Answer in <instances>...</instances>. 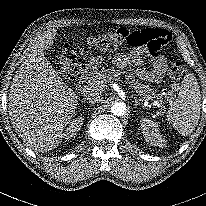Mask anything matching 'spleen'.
<instances>
[{
  "instance_id": "1",
  "label": "spleen",
  "mask_w": 206,
  "mask_h": 206,
  "mask_svg": "<svg viewBox=\"0 0 206 206\" xmlns=\"http://www.w3.org/2000/svg\"><path fill=\"white\" fill-rule=\"evenodd\" d=\"M170 105L166 120L182 136L190 135L198 124L201 108L199 85L193 74L184 78L178 97Z\"/></svg>"
}]
</instances>
